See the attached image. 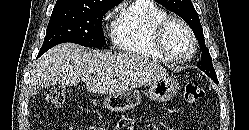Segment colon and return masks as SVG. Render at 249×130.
Segmentation results:
<instances>
[{"label":"colon","instance_id":"colon-1","mask_svg":"<svg viewBox=\"0 0 249 130\" xmlns=\"http://www.w3.org/2000/svg\"><path fill=\"white\" fill-rule=\"evenodd\" d=\"M206 97L205 90L197 81H190L185 86L184 98L188 103H195ZM66 99V90L63 87H54L47 91L45 100L55 107H61ZM93 130H104L102 128H94Z\"/></svg>","mask_w":249,"mask_h":130}]
</instances>
